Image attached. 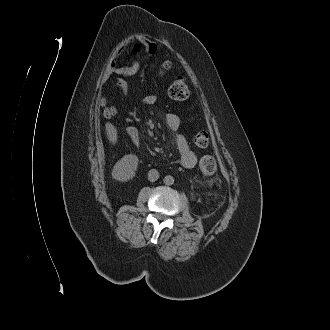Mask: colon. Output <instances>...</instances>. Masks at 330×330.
Here are the masks:
<instances>
[{
	"instance_id": "5ec220e1",
	"label": "colon",
	"mask_w": 330,
	"mask_h": 330,
	"mask_svg": "<svg viewBox=\"0 0 330 330\" xmlns=\"http://www.w3.org/2000/svg\"><path fill=\"white\" fill-rule=\"evenodd\" d=\"M160 73L167 74L171 69L172 65L170 62H164L159 65ZM189 87L185 79H177L169 90L170 97L177 100H184L189 96ZM105 105L104 116L107 118L114 117L116 114V109L111 105ZM195 143L199 147H206L209 143V135L206 132H199L195 136ZM199 168L205 175H212L216 171V161L212 156H204L199 161Z\"/></svg>"
}]
</instances>
